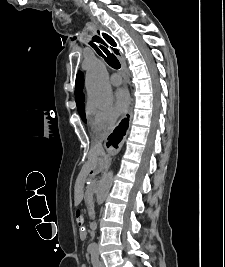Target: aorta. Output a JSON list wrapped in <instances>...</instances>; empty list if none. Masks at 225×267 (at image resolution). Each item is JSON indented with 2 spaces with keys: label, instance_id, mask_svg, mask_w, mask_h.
Instances as JSON below:
<instances>
[{
  "label": "aorta",
  "instance_id": "aorta-1",
  "mask_svg": "<svg viewBox=\"0 0 225 267\" xmlns=\"http://www.w3.org/2000/svg\"><path fill=\"white\" fill-rule=\"evenodd\" d=\"M86 89L88 102L96 107H105L112 101V91L107 80L105 64L100 60L92 61L86 71ZM114 174L112 171L103 174L99 181L96 201L99 205L106 200L113 185ZM91 248L97 249V244H91Z\"/></svg>",
  "mask_w": 225,
  "mask_h": 267
}]
</instances>
